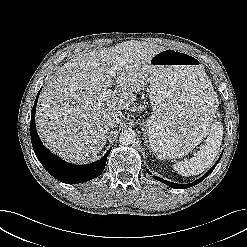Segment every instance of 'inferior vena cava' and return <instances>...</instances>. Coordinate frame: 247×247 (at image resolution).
I'll use <instances>...</instances> for the list:
<instances>
[{"instance_id":"inferior-vena-cava-1","label":"inferior vena cava","mask_w":247,"mask_h":247,"mask_svg":"<svg viewBox=\"0 0 247 247\" xmlns=\"http://www.w3.org/2000/svg\"><path fill=\"white\" fill-rule=\"evenodd\" d=\"M121 121V114L112 113L106 116V125L108 127H115Z\"/></svg>"}]
</instances>
